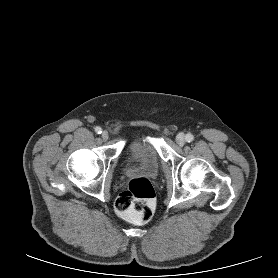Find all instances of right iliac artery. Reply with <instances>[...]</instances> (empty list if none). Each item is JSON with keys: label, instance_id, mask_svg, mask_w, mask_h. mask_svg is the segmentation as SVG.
Returning <instances> with one entry per match:
<instances>
[{"label": "right iliac artery", "instance_id": "1", "mask_svg": "<svg viewBox=\"0 0 278 278\" xmlns=\"http://www.w3.org/2000/svg\"><path fill=\"white\" fill-rule=\"evenodd\" d=\"M95 132L98 133V134H101L102 133V129L100 127H96L95 128Z\"/></svg>", "mask_w": 278, "mask_h": 278}]
</instances>
